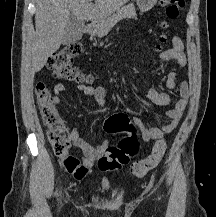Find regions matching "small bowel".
Masks as SVG:
<instances>
[{
    "label": "small bowel",
    "mask_w": 216,
    "mask_h": 217,
    "mask_svg": "<svg viewBox=\"0 0 216 217\" xmlns=\"http://www.w3.org/2000/svg\"><path fill=\"white\" fill-rule=\"evenodd\" d=\"M173 46L169 49L164 50L159 55L157 62L171 63L177 62L181 67L186 66L187 58L185 55L184 45L181 39L177 36L173 37ZM177 75L174 71H170L167 74L165 84L170 90L176 88ZM65 84H57L54 91V105L60 104V98L58 95L62 94L66 90ZM79 91L86 97L91 98L99 106L105 105L106 90L103 87H91V86H79ZM189 94V87L187 82H182L179 85V98L174 102L172 109L166 110L165 113L169 118V121L161 127H146L138 117H133L132 121L134 126L139 132L140 138L145 141H155L165 137L166 135L173 132L179 125L181 118L185 112L187 106V98ZM145 98L151 101L158 107H166L174 101L173 95L167 92L156 91L155 89L149 88L145 93ZM70 142L79 149L80 152V168L82 169L81 176L76 179H84L94 166L95 161L100 157L104 149L108 146L107 141H100L97 143H90L84 140L77 129L73 128L69 132Z\"/></svg>",
    "instance_id": "c3829d8e"
}]
</instances>
